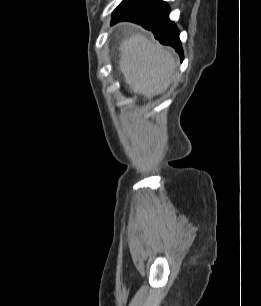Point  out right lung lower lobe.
Returning <instances> with one entry per match:
<instances>
[{
  "label": "right lung lower lobe",
  "mask_w": 261,
  "mask_h": 306,
  "mask_svg": "<svg viewBox=\"0 0 261 306\" xmlns=\"http://www.w3.org/2000/svg\"><path fill=\"white\" fill-rule=\"evenodd\" d=\"M131 21L151 30L162 44L170 45L180 54L183 51L179 40V30L169 20V6L162 0H132L113 13L112 24Z\"/></svg>",
  "instance_id": "1"
}]
</instances>
